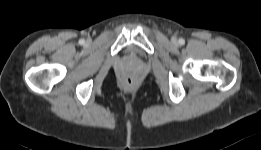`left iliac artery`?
I'll return each mask as SVG.
<instances>
[{"mask_svg":"<svg viewBox=\"0 0 261 150\" xmlns=\"http://www.w3.org/2000/svg\"><path fill=\"white\" fill-rule=\"evenodd\" d=\"M184 43H185V40L182 39V38H180V39H179V44H180V45H183Z\"/></svg>","mask_w":261,"mask_h":150,"instance_id":"44dca946","label":"left iliac artery"}]
</instances>
